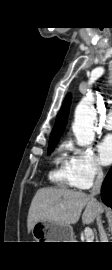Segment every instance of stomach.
<instances>
[{
  "mask_svg": "<svg viewBox=\"0 0 112 270\" xmlns=\"http://www.w3.org/2000/svg\"><path fill=\"white\" fill-rule=\"evenodd\" d=\"M31 232L36 242H73V228L70 225L37 222Z\"/></svg>",
  "mask_w": 112,
  "mask_h": 270,
  "instance_id": "obj_1",
  "label": "stomach"
}]
</instances>
